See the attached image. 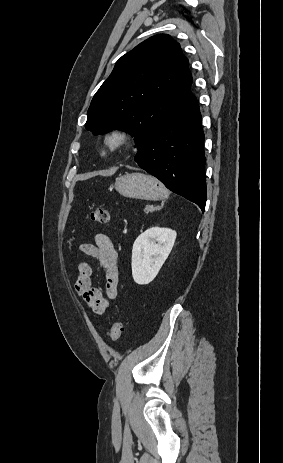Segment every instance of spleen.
I'll use <instances>...</instances> for the list:
<instances>
[{
	"instance_id": "obj_1",
	"label": "spleen",
	"mask_w": 283,
	"mask_h": 463,
	"mask_svg": "<svg viewBox=\"0 0 283 463\" xmlns=\"http://www.w3.org/2000/svg\"><path fill=\"white\" fill-rule=\"evenodd\" d=\"M169 196V191L166 189L165 191V194H164V197L163 198H167Z\"/></svg>"
}]
</instances>
